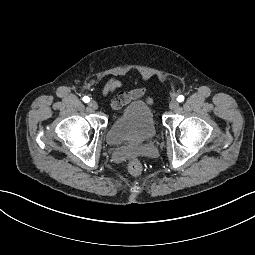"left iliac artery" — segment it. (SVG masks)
I'll return each mask as SVG.
<instances>
[{"mask_svg": "<svg viewBox=\"0 0 255 255\" xmlns=\"http://www.w3.org/2000/svg\"><path fill=\"white\" fill-rule=\"evenodd\" d=\"M177 100L178 102L184 101V96L183 95L178 96Z\"/></svg>", "mask_w": 255, "mask_h": 255, "instance_id": "44dca946", "label": "left iliac artery"}]
</instances>
